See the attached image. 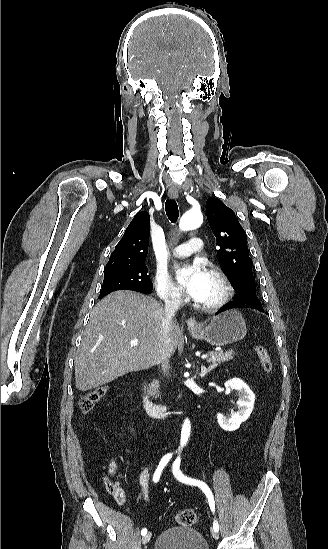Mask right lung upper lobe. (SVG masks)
<instances>
[{"instance_id": "right-lung-upper-lobe-1", "label": "right lung upper lobe", "mask_w": 328, "mask_h": 549, "mask_svg": "<svg viewBox=\"0 0 328 549\" xmlns=\"http://www.w3.org/2000/svg\"><path fill=\"white\" fill-rule=\"evenodd\" d=\"M150 234L149 213L136 214L127 227L122 239L115 246L105 270L143 262L146 259Z\"/></svg>"}]
</instances>
